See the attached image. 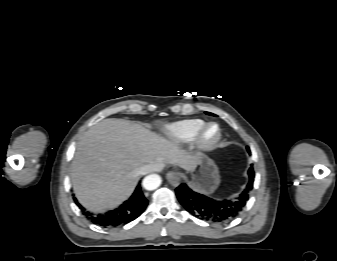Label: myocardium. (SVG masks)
I'll use <instances>...</instances> for the list:
<instances>
[{
  "label": "myocardium",
  "mask_w": 337,
  "mask_h": 261,
  "mask_svg": "<svg viewBox=\"0 0 337 261\" xmlns=\"http://www.w3.org/2000/svg\"><path fill=\"white\" fill-rule=\"evenodd\" d=\"M211 128H215L216 133L214 137H212L211 139H208L207 132ZM221 138H222V131H221L220 126L216 123H208V124H205L201 128V130L198 132L197 136L194 139V144H195V147L200 151H204V152L211 151L218 145Z\"/></svg>",
  "instance_id": "myocardium-1"
}]
</instances>
